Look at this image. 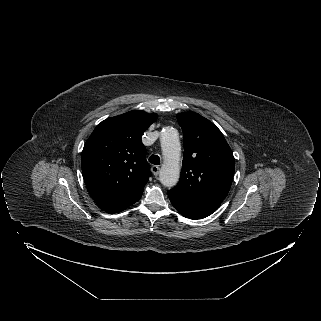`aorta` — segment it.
Listing matches in <instances>:
<instances>
[{"mask_svg": "<svg viewBox=\"0 0 321 321\" xmlns=\"http://www.w3.org/2000/svg\"><path fill=\"white\" fill-rule=\"evenodd\" d=\"M163 164L159 179L165 187L175 186L180 177L181 147L178 131L173 127H165L160 134Z\"/></svg>", "mask_w": 321, "mask_h": 321, "instance_id": "obj_1", "label": "aorta"}]
</instances>
